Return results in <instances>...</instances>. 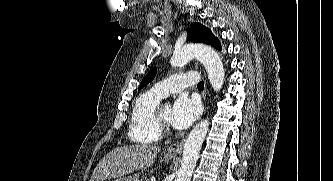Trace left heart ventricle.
I'll use <instances>...</instances> for the list:
<instances>
[{
  "label": "left heart ventricle",
  "mask_w": 333,
  "mask_h": 181,
  "mask_svg": "<svg viewBox=\"0 0 333 181\" xmlns=\"http://www.w3.org/2000/svg\"><path fill=\"white\" fill-rule=\"evenodd\" d=\"M171 114V106L168 104H164L161 109V117L165 122H169Z\"/></svg>",
  "instance_id": "left-heart-ventricle-1"
}]
</instances>
